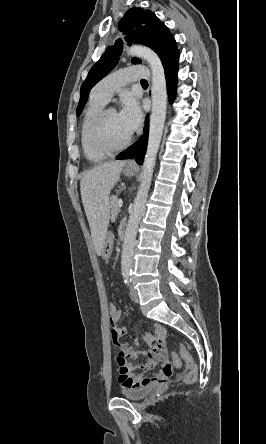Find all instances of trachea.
Listing matches in <instances>:
<instances>
[{"label":"trachea","instance_id":"3493384b","mask_svg":"<svg viewBox=\"0 0 266 444\" xmlns=\"http://www.w3.org/2000/svg\"><path fill=\"white\" fill-rule=\"evenodd\" d=\"M141 83H147V80L142 79V80H141Z\"/></svg>","mask_w":266,"mask_h":444}]
</instances>
